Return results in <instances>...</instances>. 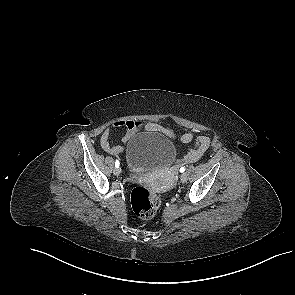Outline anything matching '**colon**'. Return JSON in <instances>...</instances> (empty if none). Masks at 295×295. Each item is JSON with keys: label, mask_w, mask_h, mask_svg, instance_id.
Listing matches in <instances>:
<instances>
[{"label": "colon", "mask_w": 295, "mask_h": 295, "mask_svg": "<svg viewBox=\"0 0 295 295\" xmlns=\"http://www.w3.org/2000/svg\"><path fill=\"white\" fill-rule=\"evenodd\" d=\"M131 205L135 214L141 219H150L160 206V198L144 187H136L131 192Z\"/></svg>", "instance_id": "obj_1"}]
</instances>
